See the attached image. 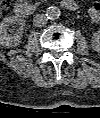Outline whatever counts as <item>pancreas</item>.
<instances>
[{
    "mask_svg": "<svg viewBox=\"0 0 100 118\" xmlns=\"http://www.w3.org/2000/svg\"><path fill=\"white\" fill-rule=\"evenodd\" d=\"M42 1V0H41ZM41 1L37 2L36 5L39 6L41 4Z\"/></svg>",
    "mask_w": 100,
    "mask_h": 118,
    "instance_id": "pancreas-1",
    "label": "pancreas"
}]
</instances>
